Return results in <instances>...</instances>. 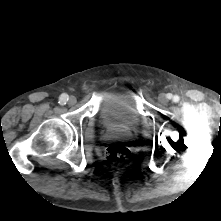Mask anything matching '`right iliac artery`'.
Instances as JSON below:
<instances>
[{
  "instance_id": "obj_1",
  "label": "right iliac artery",
  "mask_w": 221,
  "mask_h": 221,
  "mask_svg": "<svg viewBox=\"0 0 221 221\" xmlns=\"http://www.w3.org/2000/svg\"><path fill=\"white\" fill-rule=\"evenodd\" d=\"M68 101V95L67 94H62L59 98V104L64 105Z\"/></svg>"
}]
</instances>
